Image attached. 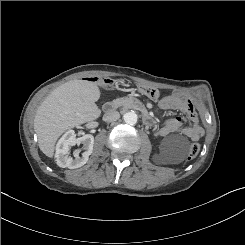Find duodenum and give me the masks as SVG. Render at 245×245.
Returning <instances> with one entry per match:
<instances>
[{"label": "duodenum", "mask_w": 245, "mask_h": 245, "mask_svg": "<svg viewBox=\"0 0 245 245\" xmlns=\"http://www.w3.org/2000/svg\"><path fill=\"white\" fill-rule=\"evenodd\" d=\"M116 107V103L114 102H109L106 104L105 108L107 111H111ZM143 120L147 125H151L152 124V118L151 116H149L147 113H144L143 115Z\"/></svg>", "instance_id": "410a0bca"}]
</instances>
